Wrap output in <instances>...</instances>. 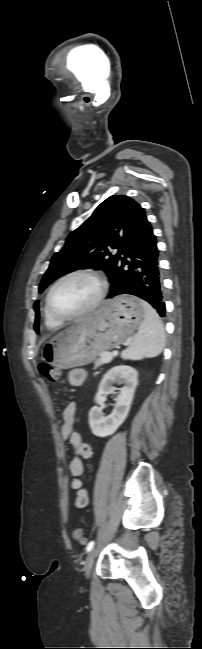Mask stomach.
Instances as JSON below:
<instances>
[{
  "instance_id": "stomach-1",
  "label": "stomach",
  "mask_w": 202,
  "mask_h": 649,
  "mask_svg": "<svg viewBox=\"0 0 202 649\" xmlns=\"http://www.w3.org/2000/svg\"><path fill=\"white\" fill-rule=\"evenodd\" d=\"M143 317L142 301L136 297L122 295L105 301L99 311L81 318L46 342L41 359L58 369L88 364L101 351L127 340Z\"/></svg>"
}]
</instances>
